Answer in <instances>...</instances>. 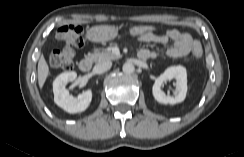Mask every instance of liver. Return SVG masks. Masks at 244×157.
<instances>
[{
	"label": "liver",
	"mask_w": 244,
	"mask_h": 157,
	"mask_svg": "<svg viewBox=\"0 0 244 157\" xmlns=\"http://www.w3.org/2000/svg\"><path fill=\"white\" fill-rule=\"evenodd\" d=\"M49 66L43 55L39 58L38 61V84L39 87L42 88L47 77L49 76Z\"/></svg>",
	"instance_id": "liver-1"
}]
</instances>
